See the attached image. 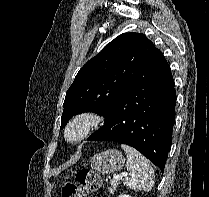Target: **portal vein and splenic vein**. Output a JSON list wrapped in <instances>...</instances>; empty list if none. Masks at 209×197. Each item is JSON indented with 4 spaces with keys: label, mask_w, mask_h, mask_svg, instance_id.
I'll use <instances>...</instances> for the list:
<instances>
[{
    "label": "portal vein and splenic vein",
    "mask_w": 209,
    "mask_h": 197,
    "mask_svg": "<svg viewBox=\"0 0 209 197\" xmlns=\"http://www.w3.org/2000/svg\"><path fill=\"white\" fill-rule=\"evenodd\" d=\"M125 176V174L115 175L113 178V182H118L120 179H122Z\"/></svg>",
    "instance_id": "18ae733b"
}]
</instances>
